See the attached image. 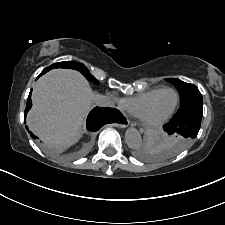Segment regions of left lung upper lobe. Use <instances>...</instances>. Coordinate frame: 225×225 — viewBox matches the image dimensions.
Listing matches in <instances>:
<instances>
[{
	"instance_id": "left-lung-upper-lobe-1",
	"label": "left lung upper lobe",
	"mask_w": 225,
	"mask_h": 225,
	"mask_svg": "<svg viewBox=\"0 0 225 225\" xmlns=\"http://www.w3.org/2000/svg\"><path fill=\"white\" fill-rule=\"evenodd\" d=\"M169 82L174 84L180 93V108L177 113H181L185 110L194 108V107H203V98L198 88L190 83L183 82L179 79L168 78ZM193 139H186L180 135H170L169 145L167 152L174 154L188 146ZM179 144H185L182 149L178 148Z\"/></svg>"
}]
</instances>
